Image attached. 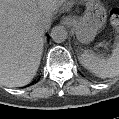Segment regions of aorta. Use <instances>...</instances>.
<instances>
[{"mask_svg":"<svg viewBox=\"0 0 119 119\" xmlns=\"http://www.w3.org/2000/svg\"><path fill=\"white\" fill-rule=\"evenodd\" d=\"M67 30L63 26H55L51 30V38L56 43L64 42L67 39Z\"/></svg>","mask_w":119,"mask_h":119,"instance_id":"762f6f07","label":"aorta"}]
</instances>
